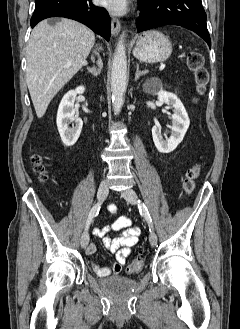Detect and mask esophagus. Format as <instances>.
<instances>
[{
    "label": "esophagus",
    "instance_id": "1",
    "mask_svg": "<svg viewBox=\"0 0 240 329\" xmlns=\"http://www.w3.org/2000/svg\"><path fill=\"white\" fill-rule=\"evenodd\" d=\"M120 30H121V25H120L119 19L116 17H112L111 18V33L113 35H118L120 33Z\"/></svg>",
    "mask_w": 240,
    "mask_h": 329
}]
</instances>
